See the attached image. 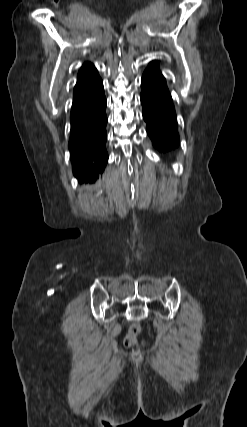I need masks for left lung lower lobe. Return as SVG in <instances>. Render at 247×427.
I'll list each match as a JSON object with an SVG mask.
<instances>
[{
  "instance_id": "1",
  "label": "left lung lower lobe",
  "mask_w": 247,
  "mask_h": 427,
  "mask_svg": "<svg viewBox=\"0 0 247 427\" xmlns=\"http://www.w3.org/2000/svg\"><path fill=\"white\" fill-rule=\"evenodd\" d=\"M140 95L147 134L153 146L167 153L179 146L177 120L166 80L155 61L144 71Z\"/></svg>"
}]
</instances>
